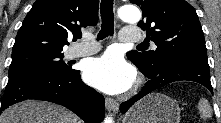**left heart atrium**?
<instances>
[{"label": "left heart atrium", "mask_w": 221, "mask_h": 123, "mask_svg": "<svg viewBox=\"0 0 221 123\" xmlns=\"http://www.w3.org/2000/svg\"><path fill=\"white\" fill-rule=\"evenodd\" d=\"M83 77L89 85L103 92L119 93L131 86L135 73L120 55L108 52L87 61Z\"/></svg>", "instance_id": "obj_1"}]
</instances>
